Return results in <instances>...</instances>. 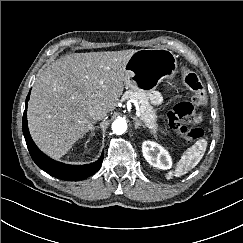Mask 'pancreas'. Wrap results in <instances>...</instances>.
Segmentation results:
<instances>
[{"label": "pancreas", "instance_id": "1", "mask_svg": "<svg viewBox=\"0 0 243 243\" xmlns=\"http://www.w3.org/2000/svg\"><path fill=\"white\" fill-rule=\"evenodd\" d=\"M136 99L140 101V119L144 122L146 127H148L152 134H157L158 124L157 115L153 109L151 103L149 102L148 93L142 89L128 90L123 95V100Z\"/></svg>", "mask_w": 243, "mask_h": 243}]
</instances>
